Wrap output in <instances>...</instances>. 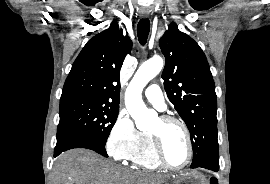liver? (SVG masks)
Here are the masks:
<instances>
[{
    "mask_svg": "<svg viewBox=\"0 0 270 184\" xmlns=\"http://www.w3.org/2000/svg\"><path fill=\"white\" fill-rule=\"evenodd\" d=\"M53 184H162L163 178L130 171L86 149L62 153L52 170Z\"/></svg>",
    "mask_w": 270,
    "mask_h": 184,
    "instance_id": "liver-1",
    "label": "liver"
}]
</instances>
